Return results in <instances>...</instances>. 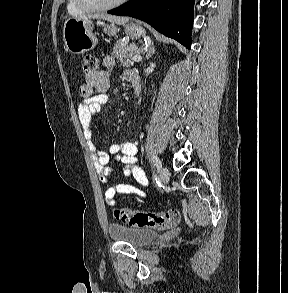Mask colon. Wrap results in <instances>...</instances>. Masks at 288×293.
<instances>
[{
    "label": "colon",
    "mask_w": 288,
    "mask_h": 293,
    "mask_svg": "<svg viewBox=\"0 0 288 293\" xmlns=\"http://www.w3.org/2000/svg\"><path fill=\"white\" fill-rule=\"evenodd\" d=\"M98 59L93 55H85L83 58V72L89 76L97 72ZM117 220L135 227H151L155 229H166L176 225L180 220V213L176 209L166 212H144L118 208L114 211Z\"/></svg>",
    "instance_id": "1"
}]
</instances>
